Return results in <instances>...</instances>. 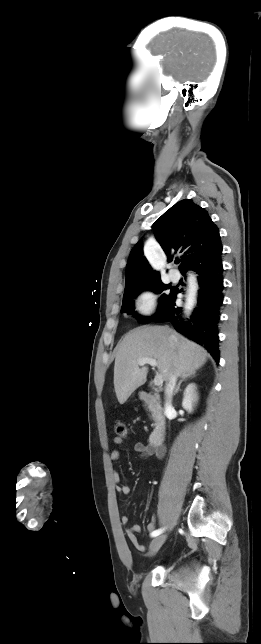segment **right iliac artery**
I'll return each mask as SVG.
<instances>
[{
    "label": "right iliac artery",
    "instance_id": "82829eb1",
    "mask_svg": "<svg viewBox=\"0 0 261 644\" xmlns=\"http://www.w3.org/2000/svg\"><path fill=\"white\" fill-rule=\"evenodd\" d=\"M163 531H164V528L157 529V530H155V531H153L151 533V537H156V536L160 535Z\"/></svg>",
    "mask_w": 261,
    "mask_h": 644
}]
</instances>
